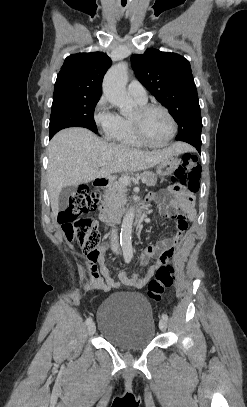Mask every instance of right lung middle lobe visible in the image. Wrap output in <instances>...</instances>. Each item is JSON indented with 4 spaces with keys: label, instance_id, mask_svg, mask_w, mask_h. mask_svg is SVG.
<instances>
[{
    "label": "right lung middle lobe",
    "instance_id": "right-lung-middle-lobe-1",
    "mask_svg": "<svg viewBox=\"0 0 247 407\" xmlns=\"http://www.w3.org/2000/svg\"><path fill=\"white\" fill-rule=\"evenodd\" d=\"M99 97L61 96L53 98L50 135L67 127H85L97 133L94 110Z\"/></svg>",
    "mask_w": 247,
    "mask_h": 407
}]
</instances>
